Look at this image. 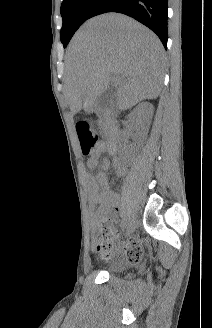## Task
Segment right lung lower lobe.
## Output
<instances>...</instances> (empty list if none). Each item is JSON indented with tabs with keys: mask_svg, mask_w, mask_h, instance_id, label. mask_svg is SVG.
Wrapping results in <instances>:
<instances>
[{
	"mask_svg": "<svg viewBox=\"0 0 212 328\" xmlns=\"http://www.w3.org/2000/svg\"><path fill=\"white\" fill-rule=\"evenodd\" d=\"M106 12L126 14L154 31L167 48V0H99L89 18Z\"/></svg>",
	"mask_w": 212,
	"mask_h": 328,
	"instance_id": "1",
	"label": "right lung lower lobe"
}]
</instances>
